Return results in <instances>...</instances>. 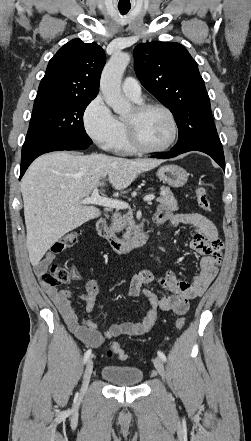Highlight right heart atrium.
I'll use <instances>...</instances> for the list:
<instances>
[{"label":"right heart atrium","mask_w":251,"mask_h":441,"mask_svg":"<svg viewBox=\"0 0 251 441\" xmlns=\"http://www.w3.org/2000/svg\"><path fill=\"white\" fill-rule=\"evenodd\" d=\"M87 135L101 148L111 149L120 133L118 119L101 95L95 96L83 112Z\"/></svg>","instance_id":"obj_1"}]
</instances>
